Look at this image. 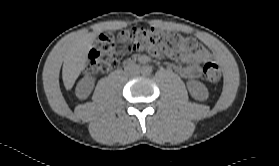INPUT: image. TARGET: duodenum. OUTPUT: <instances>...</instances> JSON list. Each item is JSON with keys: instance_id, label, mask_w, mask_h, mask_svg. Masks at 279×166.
I'll return each mask as SVG.
<instances>
[{"instance_id": "obj_1", "label": "duodenum", "mask_w": 279, "mask_h": 166, "mask_svg": "<svg viewBox=\"0 0 279 166\" xmlns=\"http://www.w3.org/2000/svg\"><path fill=\"white\" fill-rule=\"evenodd\" d=\"M134 63H135V61H133V60H126L125 61V65L128 66V67L134 65Z\"/></svg>"}]
</instances>
